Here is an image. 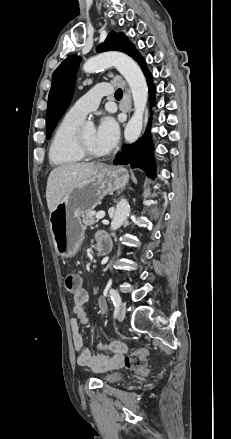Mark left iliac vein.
Instances as JSON below:
<instances>
[{
	"mask_svg": "<svg viewBox=\"0 0 231 439\" xmlns=\"http://www.w3.org/2000/svg\"><path fill=\"white\" fill-rule=\"evenodd\" d=\"M117 315H118V318L120 320H123L125 318V315H126V305L123 302H121L119 304V306H118Z\"/></svg>",
	"mask_w": 231,
	"mask_h": 439,
	"instance_id": "obj_1",
	"label": "left iliac vein"
}]
</instances>
